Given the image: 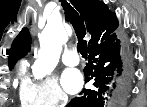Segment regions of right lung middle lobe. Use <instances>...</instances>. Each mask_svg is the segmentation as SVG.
<instances>
[{"label": "right lung middle lobe", "instance_id": "obj_1", "mask_svg": "<svg viewBox=\"0 0 147 107\" xmlns=\"http://www.w3.org/2000/svg\"><path fill=\"white\" fill-rule=\"evenodd\" d=\"M9 68H10V70L13 69V67H9Z\"/></svg>", "mask_w": 147, "mask_h": 107}]
</instances>
